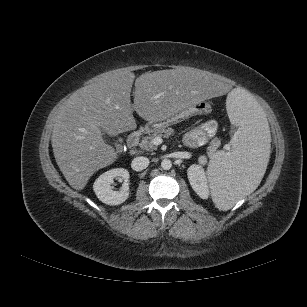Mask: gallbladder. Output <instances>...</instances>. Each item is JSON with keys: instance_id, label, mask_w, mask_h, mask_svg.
<instances>
[{"instance_id": "gallbladder-1", "label": "gallbladder", "mask_w": 307, "mask_h": 307, "mask_svg": "<svg viewBox=\"0 0 307 307\" xmlns=\"http://www.w3.org/2000/svg\"><path fill=\"white\" fill-rule=\"evenodd\" d=\"M101 132H102V135L105 137V135H106L105 130H104V129H101Z\"/></svg>"}]
</instances>
